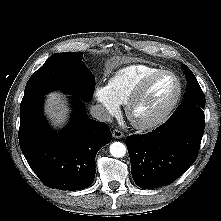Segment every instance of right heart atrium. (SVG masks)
Masks as SVG:
<instances>
[{
    "instance_id": "obj_1",
    "label": "right heart atrium",
    "mask_w": 221,
    "mask_h": 221,
    "mask_svg": "<svg viewBox=\"0 0 221 221\" xmlns=\"http://www.w3.org/2000/svg\"><path fill=\"white\" fill-rule=\"evenodd\" d=\"M94 97L100 105L103 118L109 119L118 114L120 107L111 95L107 86L99 85L95 88Z\"/></svg>"
}]
</instances>
